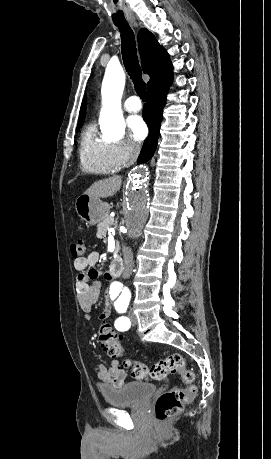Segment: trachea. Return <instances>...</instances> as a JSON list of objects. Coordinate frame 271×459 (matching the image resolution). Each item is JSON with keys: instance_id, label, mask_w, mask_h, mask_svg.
I'll list each match as a JSON object with an SVG mask.
<instances>
[{"instance_id": "1", "label": "trachea", "mask_w": 271, "mask_h": 459, "mask_svg": "<svg viewBox=\"0 0 271 459\" xmlns=\"http://www.w3.org/2000/svg\"><path fill=\"white\" fill-rule=\"evenodd\" d=\"M116 27L121 32V53L125 69L134 83L137 95L145 102L147 100L146 84L142 79L134 32L129 24L116 25Z\"/></svg>"}]
</instances>
